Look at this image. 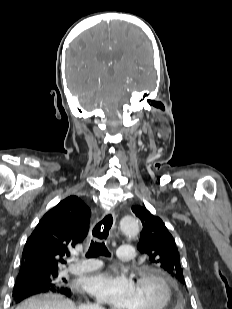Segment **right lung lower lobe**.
<instances>
[{"instance_id": "98d812e1", "label": "right lung lower lobe", "mask_w": 232, "mask_h": 309, "mask_svg": "<svg viewBox=\"0 0 232 309\" xmlns=\"http://www.w3.org/2000/svg\"><path fill=\"white\" fill-rule=\"evenodd\" d=\"M31 268L28 269L23 268L20 269V272L25 273H31ZM58 292L61 293L67 297L71 296V290L67 287L66 284L56 287H48V286H41L37 284L36 282H33L31 280H16V283L14 285L13 289V298L14 300L19 303L22 300L39 293H45V292Z\"/></svg>"}]
</instances>
